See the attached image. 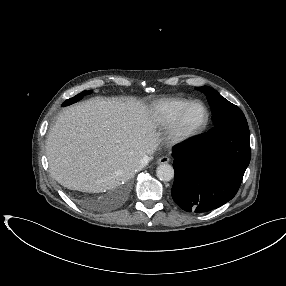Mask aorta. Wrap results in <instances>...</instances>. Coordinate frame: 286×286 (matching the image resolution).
<instances>
[{"instance_id":"obj_1","label":"aorta","mask_w":286,"mask_h":286,"mask_svg":"<svg viewBox=\"0 0 286 286\" xmlns=\"http://www.w3.org/2000/svg\"><path fill=\"white\" fill-rule=\"evenodd\" d=\"M156 175L161 181H170L174 177V169L169 164H161L157 167Z\"/></svg>"}]
</instances>
